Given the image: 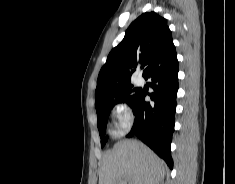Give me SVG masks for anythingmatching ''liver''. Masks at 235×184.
Listing matches in <instances>:
<instances>
[{
    "mask_svg": "<svg viewBox=\"0 0 235 184\" xmlns=\"http://www.w3.org/2000/svg\"><path fill=\"white\" fill-rule=\"evenodd\" d=\"M166 164L152 150L135 140H121L102 158L99 184H159L165 176Z\"/></svg>",
    "mask_w": 235,
    "mask_h": 184,
    "instance_id": "obj_1",
    "label": "liver"
}]
</instances>
